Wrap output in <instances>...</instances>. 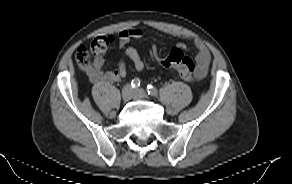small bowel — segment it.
I'll return each instance as SVG.
<instances>
[{
	"label": "small bowel",
	"mask_w": 292,
	"mask_h": 184,
	"mask_svg": "<svg viewBox=\"0 0 292 184\" xmlns=\"http://www.w3.org/2000/svg\"><path fill=\"white\" fill-rule=\"evenodd\" d=\"M142 36L143 31L139 27H132L121 31L119 33V46L124 49V58L119 60L117 69L103 72L102 67L104 65V58L102 56L96 57L92 66L86 71L90 81L95 84L121 82L127 74L125 58L130 59L138 71L143 70L144 63L137 50L133 47H127L131 40L139 39ZM195 47L197 50V67L194 77L195 79H202L208 72L211 56L209 50L202 42L196 41ZM176 48L184 50L186 47L184 44L179 43L176 45Z\"/></svg>",
	"instance_id": "small-bowel-1"
}]
</instances>
